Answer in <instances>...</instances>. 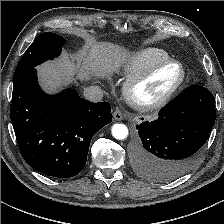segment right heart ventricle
I'll list each match as a JSON object with an SVG mask.
<instances>
[{
	"label": "right heart ventricle",
	"instance_id": "right-heart-ventricle-1",
	"mask_svg": "<svg viewBox=\"0 0 224 224\" xmlns=\"http://www.w3.org/2000/svg\"><path fill=\"white\" fill-rule=\"evenodd\" d=\"M170 59L169 54L163 49L156 47L144 48L134 53L126 62L123 71L127 77L136 75L151 65Z\"/></svg>",
	"mask_w": 224,
	"mask_h": 224
}]
</instances>
